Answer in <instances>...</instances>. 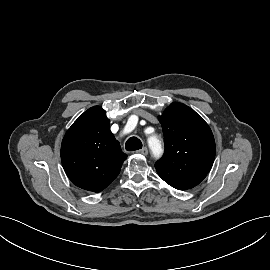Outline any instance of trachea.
I'll return each mask as SVG.
<instances>
[{"label":"trachea","mask_w":270,"mask_h":270,"mask_svg":"<svg viewBox=\"0 0 270 270\" xmlns=\"http://www.w3.org/2000/svg\"><path fill=\"white\" fill-rule=\"evenodd\" d=\"M127 151H135L142 148V142L136 137H130L125 144Z\"/></svg>","instance_id":"obj_1"}]
</instances>
